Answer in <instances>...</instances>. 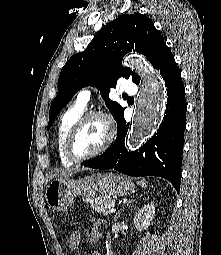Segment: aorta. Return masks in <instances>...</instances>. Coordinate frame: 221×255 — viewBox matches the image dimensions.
Returning <instances> with one entry per match:
<instances>
[{
    "label": "aorta",
    "mask_w": 221,
    "mask_h": 255,
    "mask_svg": "<svg viewBox=\"0 0 221 255\" xmlns=\"http://www.w3.org/2000/svg\"><path fill=\"white\" fill-rule=\"evenodd\" d=\"M125 66L141 75V88L127 139V148L133 151L159 127L163 119L166 92L157 74L142 56L130 55L125 60Z\"/></svg>",
    "instance_id": "762f6f07"
}]
</instances>
